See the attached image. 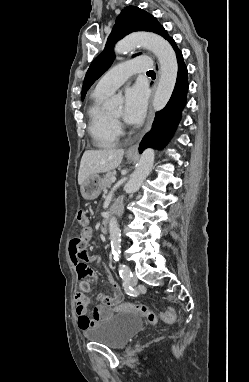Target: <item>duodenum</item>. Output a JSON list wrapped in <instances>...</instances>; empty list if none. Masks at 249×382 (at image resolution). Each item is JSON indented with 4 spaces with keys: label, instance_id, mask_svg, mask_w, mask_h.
<instances>
[{
    "label": "duodenum",
    "instance_id": "1",
    "mask_svg": "<svg viewBox=\"0 0 249 382\" xmlns=\"http://www.w3.org/2000/svg\"><path fill=\"white\" fill-rule=\"evenodd\" d=\"M113 212L115 214H117L118 216H120L123 212V205L122 203H116L114 206H113ZM110 223H111V220H110V215H107L102 223H101V230L103 233H106L109 228H110Z\"/></svg>",
    "mask_w": 249,
    "mask_h": 382
}]
</instances>
